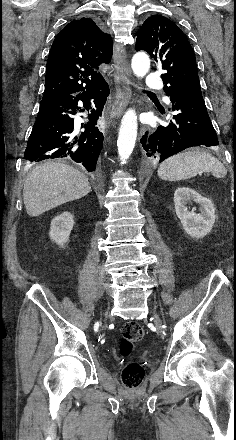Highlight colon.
<instances>
[{
  "mask_svg": "<svg viewBox=\"0 0 236 440\" xmlns=\"http://www.w3.org/2000/svg\"><path fill=\"white\" fill-rule=\"evenodd\" d=\"M143 336L144 330L140 324L133 321L126 322L121 328L120 353L128 355L134 344L140 341ZM144 376L143 367L139 363L131 362L122 371V382L127 389L133 390L141 385Z\"/></svg>",
  "mask_w": 236,
  "mask_h": 440,
  "instance_id": "colon-1",
  "label": "colon"
}]
</instances>
